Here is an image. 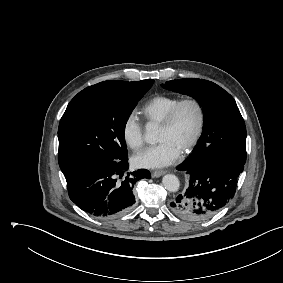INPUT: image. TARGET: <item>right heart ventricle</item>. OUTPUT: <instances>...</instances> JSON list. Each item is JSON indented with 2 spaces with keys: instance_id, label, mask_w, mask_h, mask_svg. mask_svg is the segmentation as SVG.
<instances>
[{
  "instance_id": "1",
  "label": "right heart ventricle",
  "mask_w": 283,
  "mask_h": 283,
  "mask_svg": "<svg viewBox=\"0 0 283 283\" xmlns=\"http://www.w3.org/2000/svg\"><path fill=\"white\" fill-rule=\"evenodd\" d=\"M180 100L177 96L157 95L147 101L140 112L147 123L161 125L170 110Z\"/></svg>"
}]
</instances>
